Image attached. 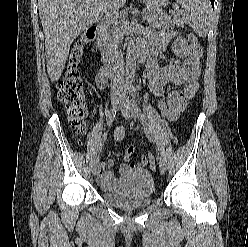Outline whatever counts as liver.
Here are the masks:
<instances>
[{
    "instance_id": "liver-1",
    "label": "liver",
    "mask_w": 248,
    "mask_h": 247,
    "mask_svg": "<svg viewBox=\"0 0 248 247\" xmlns=\"http://www.w3.org/2000/svg\"><path fill=\"white\" fill-rule=\"evenodd\" d=\"M126 0H118L123 7ZM39 16L45 34L47 72L52 82L61 77L73 41L99 21L107 0H39Z\"/></svg>"
}]
</instances>
